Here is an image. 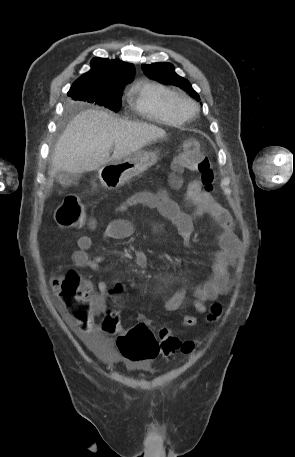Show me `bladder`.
I'll return each mask as SVG.
<instances>
[{
  "mask_svg": "<svg viewBox=\"0 0 295 457\" xmlns=\"http://www.w3.org/2000/svg\"><path fill=\"white\" fill-rule=\"evenodd\" d=\"M81 347H98L94 352L98 356H103V360H107L104 356L112 355V338H81ZM130 367L132 369L151 370L143 363H131Z\"/></svg>",
  "mask_w": 295,
  "mask_h": 457,
  "instance_id": "bladder-1",
  "label": "bladder"
}]
</instances>
